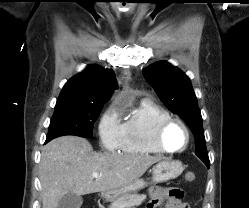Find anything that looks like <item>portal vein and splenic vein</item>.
<instances>
[{"label": "portal vein and splenic vein", "instance_id": "portal-vein-and-splenic-vein-1", "mask_svg": "<svg viewBox=\"0 0 249 208\" xmlns=\"http://www.w3.org/2000/svg\"><path fill=\"white\" fill-rule=\"evenodd\" d=\"M100 175L98 174V173H93L92 174V177H94V178H97V177H99Z\"/></svg>", "mask_w": 249, "mask_h": 208}]
</instances>
